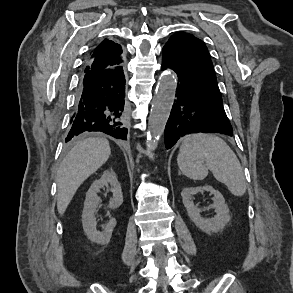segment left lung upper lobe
Instances as JSON below:
<instances>
[{"mask_svg": "<svg viewBox=\"0 0 293 293\" xmlns=\"http://www.w3.org/2000/svg\"><path fill=\"white\" fill-rule=\"evenodd\" d=\"M164 47L171 50L189 80L221 96L213 64L203 41L189 33L177 32Z\"/></svg>", "mask_w": 293, "mask_h": 293, "instance_id": "left-lung-upper-lobe-1", "label": "left lung upper lobe"}]
</instances>
